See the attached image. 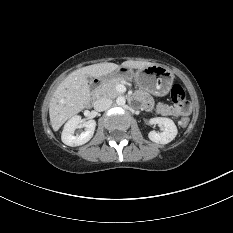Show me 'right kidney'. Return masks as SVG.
<instances>
[{"label": "right kidney", "instance_id": "ca27d5eb", "mask_svg": "<svg viewBox=\"0 0 233 233\" xmlns=\"http://www.w3.org/2000/svg\"><path fill=\"white\" fill-rule=\"evenodd\" d=\"M85 127L80 135H74V131L77 127ZM96 127L95 120L83 121L80 116H73L64 125L62 131V142L68 146H80L87 143L93 136Z\"/></svg>", "mask_w": 233, "mask_h": 233}]
</instances>
